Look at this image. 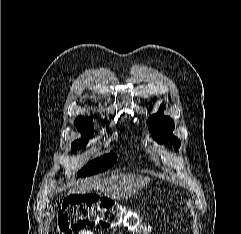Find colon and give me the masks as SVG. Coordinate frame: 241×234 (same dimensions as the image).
<instances>
[{
	"label": "colon",
	"mask_w": 241,
	"mask_h": 234,
	"mask_svg": "<svg viewBox=\"0 0 241 234\" xmlns=\"http://www.w3.org/2000/svg\"><path fill=\"white\" fill-rule=\"evenodd\" d=\"M121 224L133 234H148L149 231L138 213L129 212L108 198H98L92 194L67 196L57 214L61 234H77L93 226L111 229Z\"/></svg>",
	"instance_id": "colon-1"
}]
</instances>
